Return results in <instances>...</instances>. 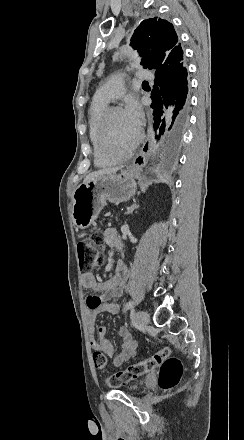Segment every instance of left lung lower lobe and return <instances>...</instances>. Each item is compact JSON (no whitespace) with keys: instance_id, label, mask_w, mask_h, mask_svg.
<instances>
[{"instance_id":"left-lung-lower-lobe-1","label":"left lung lower lobe","mask_w":244,"mask_h":440,"mask_svg":"<svg viewBox=\"0 0 244 440\" xmlns=\"http://www.w3.org/2000/svg\"><path fill=\"white\" fill-rule=\"evenodd\" d=\"M154 82L151 91L153 101L151 107L155 116L154 128L159 127L163 109L169 108L167 123L165 124L164 118L160 127V133H163L167 126L161 150L165 155H172L182 144L189 119V104L186 101L187 70L183 65V57L167 66H160L155 72Z\"/></svg>"}]
</instances>
